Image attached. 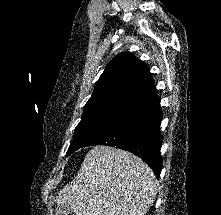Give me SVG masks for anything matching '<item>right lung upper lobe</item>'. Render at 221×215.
I'll return each mask as SVG.
<instances>
[{"instance_id": "cb5924a9", "label": "right lung upper lobe", "mask_w": 221, "mask_h": 215, "mask_svg": "<svg viewBox=\"0 0 221 215\" xmlns=\"http://www.w3.org/2000/svg\"><path fill=\"white\" fill-rule=\"evenodd\" d=\"M156 96L148 67L131 53H120L100 76L84 113L123 117Z\"/></svg>"}]
</instances>
